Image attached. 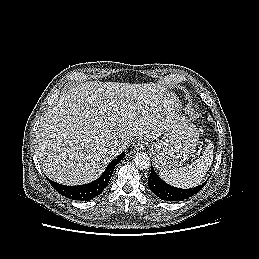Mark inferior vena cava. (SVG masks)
<instances>
[{"label": "inferior vena cava", "instance_id": "obj_1", "mask_svg": "<svg viewBox=\"0 0 259 259\" xmlns=\"http://www.w3.org/2000/svg\"><path fill=\"white\" fill-rule=\"evenodd\" d=\"M126 147H127V143L126 142L115 143V145H114V149H117L119 152L123 151Z\"/></svg>", "mask_w": 259, "mask_h": 259}]
</instances>
